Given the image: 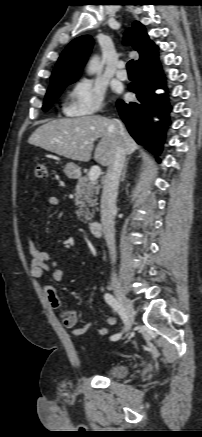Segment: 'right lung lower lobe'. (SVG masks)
I'll return each mask as SVG.
<instances>
[{"mask_svg": "<svg viewBox=\"0 0 202 437\" xmlns=\"http://www.w3.org/2000/svg\"><path fill=\"white\" fill-rule=\"evenodd\" d=\"M164 79L158 55L148 62L138 64L136 77L129 85L130 90L136 93L137 101L125 103L118 100L116 103L120 117L131 136L154 155H160L165 132L170 124L168 114L171 107L168 95L161 97L155 93L157 88L168 92L166 87H162ZM158 111H162L165 117H158L160 121H153L154 117L160 115Z\"/></svg>", "mask_w": 202, "mask_h": 437, "instance_id": "right-lung-lower-lobe-1", "label": "right lung lower lobe"}]
</instances>
